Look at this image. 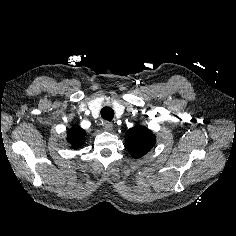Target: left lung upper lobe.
Returning <instances> with one entry per match:
<instances>
[{
    "mask_svg": "<svg viewBox=\"0 0 236 236\" xmlns=\"http://www.w3.org/2000/svg\"><path fill=\"white\" fill-rule=\"evenodd\" d=\"M154 134L144 126H135L126 133L125 143L129 153L139 158L149 152L155 145Z\"/></svg>",
    "mask_w": 236,
    "mask_h": 236,
    "instance_id": "obj_1",
    "label": "left lung upper lobe"
}]
</instances>
